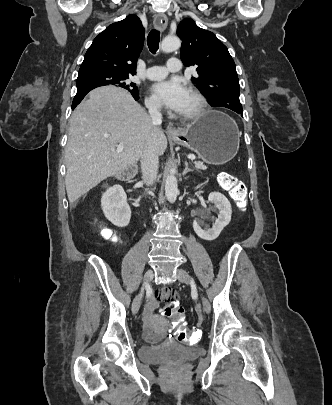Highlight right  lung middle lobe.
Here are the masks:
<instances>
[{"label":"right lung middle lobe","instance_id":"obj_1","mask_svg":"<svg viewBox=\"0 0 332 405\" xmlns=\"http://www.w3.org/2000/svg\"><path fill=\"white\" fill-rule=\"evenodd\" d=\"M130 76L131 75L111 72H90L79 74L77 78V92L104 85H116L127 89L132 95H138L136 84L128 81Z\"/></svg>","mask_w":332,"mask_h":405}]
</instances>
